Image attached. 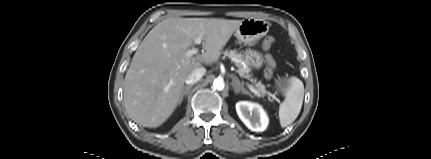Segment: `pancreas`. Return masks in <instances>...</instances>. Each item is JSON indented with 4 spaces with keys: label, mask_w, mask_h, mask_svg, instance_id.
I'll return each mask as SVG.
<instances>
[{
    "label": "pancreas",
    "mask_w": 431,
    "mask_h": 159,
    "mask_svg": "<svg viewBox=\"0 0 431 159\" xmlns=\"http://www.w3.org/2000/svg\"><path fill=\"white\" fill-rule=\"evenodd\" d=\"M224 55L228 56L232 61H234V63L238 67V73L241 77H250V68L248 67L247 62L244 60L242 54L237 53L236 50H226L224 52ZM256 87L258 88L257 90L259 92L257 96H263L264 94H266L265 86L261 82L257 83Z\"/></svg>",
    "instance_id": "cf45deb5"
}]
</instances>
